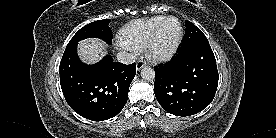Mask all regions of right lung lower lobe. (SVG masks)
Masks as SVG:
<instances>
[{
  "instance_id": "1",
  "label": "right lung lower lobe",
  "mask_w": 276,
  "mask_h": 138,
  "mask_svg": "<svg viewBox=\"0 0 276 138\" xmlns=\"http://www.w3.org/2000/svg\"><path fill=\"white\" fill-rule=\"evenodd\" d=\"M60 84L68 105L93 121L116 116L125 106L136 64L114 62L110 55L95 65L82 63L77 44L67 46L60 67Z\"/></svg>"
}]
</instances>
